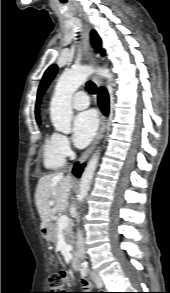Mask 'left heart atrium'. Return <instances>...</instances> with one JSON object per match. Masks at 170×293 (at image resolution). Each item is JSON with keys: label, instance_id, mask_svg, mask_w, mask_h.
<instances>
[{"label": "left heart atrium", "instance_id": "left-heart-atrium-1", "mask_svg": "<svg viewBox=\"0 0 170 293\" xmlns=\"http://www.w3.org/2000/svg\"><path fill=\"white\" fill-rule=\"evenodd\" d=\"M98 127V119L95 112L89 110L78 114L72 125V139L74 144L83 148L93 139Z\"/></svg>", "mask_w": 170, "mask_h": 293}]
</instances>
